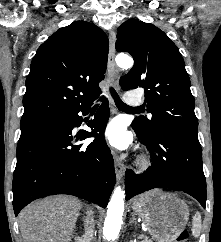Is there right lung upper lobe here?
Returning <instances> with one entry per match:
<instances>
[{"label":"right lung upper lobe","instance_id":"right-lung-upper-lobe-1","mask_svg":"<svg viewBox=\"0 0 221 242\" xmlns=\"http://www.w3.org/2000/svg\"><path fill=\"white\" fill-rule=\"evenodd\" d=\"M108 37L93 23L60 28L37 50L26 79L21 124L82 107L98 97Z\"/></svg>","mask_w":221,"mask_h":242}]
</instances>
